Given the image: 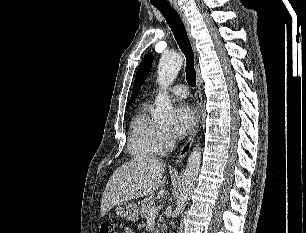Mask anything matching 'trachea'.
I'll return each mask as SVG.
<instances>
[{"instance_id": "obj_1", "label": "trachea", "mask_w": 306, "mask_h": 233, "mask_svg": "<svg viewBox=\"0 0 306 233\" xmlns=\"http://www.w3.org/2000/svg\"><path fill=\"white\" fill-rule=\"evenodd\" d=\"M165 17L174 37L186 57V80L191 87L196 84V73L194 69V53L185 29V26L170 4H153Z\"/></svg>"}]
</instances>
